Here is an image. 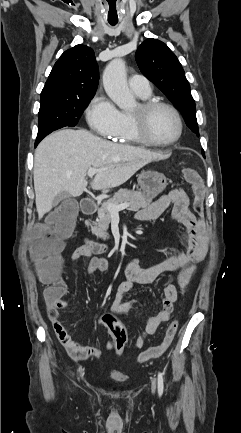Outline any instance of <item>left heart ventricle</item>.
Returning <instances> with one entry per match:
<instances>
[{
	"instance_id": "obj_1",
	"label": "left heart ventricle",
	"mask_w": 241,
	"mask_h": 433,
	"mask_svg": "<svg viewBox=\"0 0 241 433\" xmlns=\"http://www.w3.org/2000/svg\"><path fill=\"white\" fill-rule=\"evenodd\" d=\"M137 106L132 112H138ZM148 132L150 136L159 142H169L175 138L178 132L177 121L166 108H158L149 117Z\"/></svg>"
}]
</instances>
